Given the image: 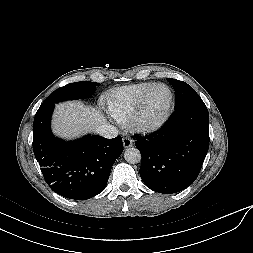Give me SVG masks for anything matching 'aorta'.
I'll return each mask as SVG.
<instances>
[{"label": "aorta", "mask_w": 253, "mask_h": 253, "mask_svg": "<svg viewBox=\"0 0 253 253\" xmlns=\"http://www.w3.org/2000/svg\"><path fill=\"white\" fill-rule=\"evenodd\" d=\"M124 158L129 164H137L141 161V153L140 151L135 148H128L124 152Z\"/></svg>", "instance_id": "1"}]
</instances>
